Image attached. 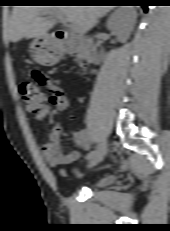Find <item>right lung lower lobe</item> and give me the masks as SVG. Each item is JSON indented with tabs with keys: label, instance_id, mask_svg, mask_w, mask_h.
I'll return each instance as SVG.
<instances>
[{
	"label": "right lung lower lobe",
	"instance_id": "obj_1",
	"mask_svg": "<svg viewBox=\"0 0 170 231\" xmlns=\"http://www.w3.org/2000/svg\"><path fill=\"white\" fill-rule=\"evenodd\" d=\"M141 2H144V1H141ZM139 5L143 7V9H144L145 12H147L148 6L145 3H141Z\"/></svg>",
	"mask_w": 170,
	"mask_h": 231
}]
</instances>
